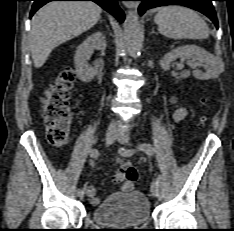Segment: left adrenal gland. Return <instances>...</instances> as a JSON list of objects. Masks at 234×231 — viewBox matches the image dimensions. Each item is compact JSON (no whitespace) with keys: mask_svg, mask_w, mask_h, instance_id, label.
Here are the masks:
<instances>
[{"mask_svg":"<svg viewBox=\"0 0 234 231\" xmlns=\"http://www.w3.org/2000/svg\"><path fill=\"white\" fill-rule=\"evenodd\" d=\"M153 33H156V32L154 31V29L151 30V34H153Z\"/></svg>","mask_w":234,"mask_h":231,"instance_id":"1","label":"left adrenal gland"}]
</instances>
